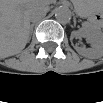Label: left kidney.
<instances>
[{"label": "left kidney", "mask_w": 103, "mask_h": 103, "mask_svg": "<svg viewBox=\"0 0 103 103\" xmlns=\"http://www.w3.org/2000/svg\"><path fill=\"white\" fill-rule=\"evenodd\" d=\"M86 37L88 42L91 44V48H81L78 46H75V49L78 53L84 55L85 57L95 59L102 56V37L97 36L90 32H83L82 30L79 31H73L71 33L70 39H73L74 37Z\"/></svg>", "instance_id": "1"}]
</instances>
